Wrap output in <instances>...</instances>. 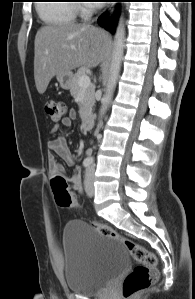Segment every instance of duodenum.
<instances>
[{"label":"duodenum","instance_id":"duodenum-1","mask_svg":"<svg viewBox=\"0 0 195 299\" xmlns=\"http://www.w3.org/2000/svg\"><path fill=\"white\" fill-rule=\"evenodd\" d=\"M81 121L85 128H90L93 125V116L90 111H84L81 114Z\"/></svg>","mask_w":195,"mask_h":299}]
</instances>
